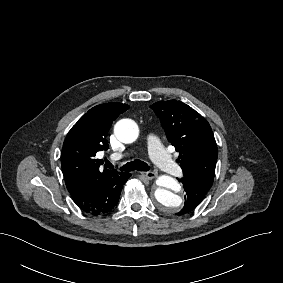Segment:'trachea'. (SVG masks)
<instances>
[{
    "label": "trachea",
    "mask_w": 283,
    "mask_h": 283,
    "mask_svg": "<svg viewBox=\"0 0 283 283\" xmlns=\"http://www.w3.org/2000/svg\"><path fill=\"white\" fill-rule=\"evenodd\" d=\"M114 166L108 162L107 164V168L112 169ZM121 171H126V172H131L134 170H138V171H148L149 170V166L147 163H145L144 161H141L139 159H136L134 161L128 162L125 165H123L120 168Z\"/></svg>",
    "instance_id": "1"
}]
</instances>
